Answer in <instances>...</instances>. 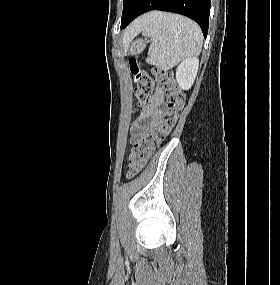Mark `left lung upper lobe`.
Segmentation results:
<instances>
[{"mask_svg":"<svg viewBox=\"0 0 280 285\" xmlns=\"http://www.w3.org/2000/svg\"><path fill=\"white\" fill-rule=\"evenodd\" d=\"M137 0H124L121 24L129 16Z\"/></svg>","mask_w":280,"mask_h":285,"instance_id":"left-lung-upper-lobe-1","label":"left lung upper lobe"}]
</instances>
